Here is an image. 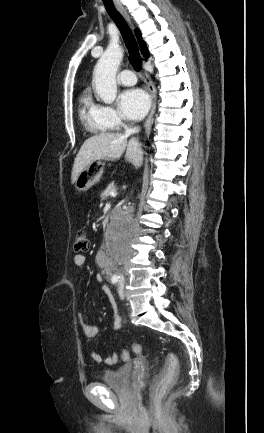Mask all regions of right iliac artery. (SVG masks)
I'll use <instances>...</instances> for the list:
<instances>
[{
	"mask_svg": "<svg viewBox=\"0 0 264 433\" xmlns=\"http://www.w3.org/2000/svg\"><path fill=\"white\" fill-rule=\"evenodd\" d=\"M111 281L113 284H117L120 281V278L119 277H112Z\"/></svg>",
	"mask_w": 264,
	"mask_h": 433,
	"instance_id": "right-iliac-artery-1",
	"label": "right iliac artery"
}]
</instances>
